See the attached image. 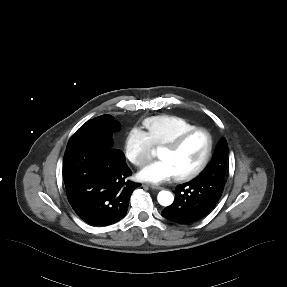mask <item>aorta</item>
<instances>
[{
	"mask_svg": "<svg viewBox=\"0 0 287 287\" xmlns=\"http://www.w3.org/2000/svg\"><path fill=\"white\" fill-rule=\"evenodd\" d=\"M157 200L162 206H169L174 201V196L171 192L162 190L158 193Z\"/></svg>",
	"mask_w": 287,
	"mask_h": 287,
	"instance_id": "aorta-1",
	"label": "aorta"
}]
</instances>
